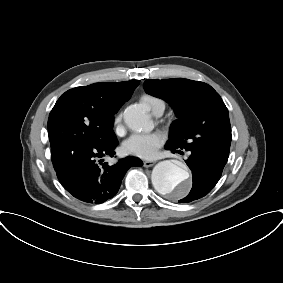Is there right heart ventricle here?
Here are the masks:
<instances>
[{
  "label": "right heart ventricle",
  "instance_id": "1",
  "mask_svg": "<svg viewBox=\"0 0 283 283\" xmlns=\"http://www.w3.org/2000/svg\"><path fill=\"white\" fill-rule=\"evenodd\" d=\"M141 102L146 104L153 112L159 108H165V103L162 99L150 94H143L141 96Z\"/></svg>",
  "mask_w": 283,
  "mask_h": 283
}]
</instances>
